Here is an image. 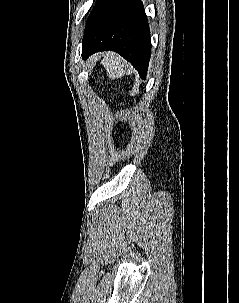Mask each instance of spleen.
I'll return each mask as SVG.
<instances>
[{"mask_svg": "<svg viewBox=\"0 0 239 303\" xmlns=\"http://www.w3.org/2000/svg\"><path fill=\"white\" fill-rule=\"evenodd\" d=\"M101 64L112 79L123 77L128 70L127 62L114 53H105Z\"/></svg>", "mask_w": 239, "mask_h": 303, "instance_id": "3e777b00", "label": "spleen"}]
</instances>
